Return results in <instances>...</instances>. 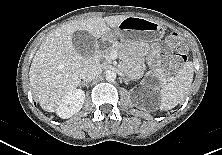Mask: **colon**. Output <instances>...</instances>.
Listing matches in <instances>:
<instances>
[{
	"mask_svg": "<svg viewBox=\"0 0 222 155\" xmlns=\"http://www.w3.org/2000/svg\"><path fill=\"white\" fill-rule=\"evenodd\" d=\"M165 57L163 68L166 73H174L187 59L183 40L176 34L167 36L163 43Z\"/></svg>",
	"mask_w": 222,
	"mask_h": 155,
	"instance_id": "obj_1",
	"label": "colon"
}]
</instances>
